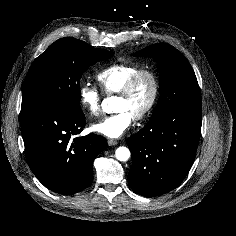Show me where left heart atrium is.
<instances>
[{"mask_svg": "<svg viewBox=\"0 0 236 236\" xmlns=\"http://www.w3.org/2000/svg\"><path fill=\"white\" fill-rule=\"evenodd\" d=\"M134 116L126 110L106 117L102 121L93 125V129L110 138L122 136L132 125Z\"/></svg>", "mask_w": 236, "mask_h": 236, "instance_id": "1", "label": "left heart atrium"}]
</instances>
